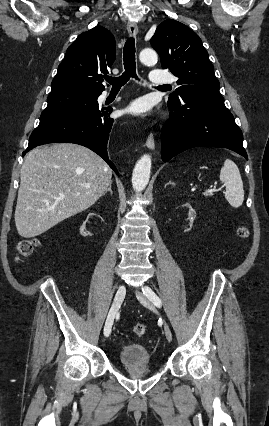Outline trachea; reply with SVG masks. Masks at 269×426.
<instances>
[{"mask_svg": "<svg viewBox=\"0 0 269 426\" xmlns=\"http://www.w3.org/2000/svg\"><path fill=\"white\" fill-rule=\"evenodd\" d=\"M123 60H124V73L119 77H105V80L112 85V88H121L127 83V81L136 76V62H135V40L133 37L129 38L123 49ZM165 87V86H159Z\"/></svg>", "mask_w": 269, "mask_h": 426, "instance_id": "obj_1", "label": "trachea"}]
</instances>
